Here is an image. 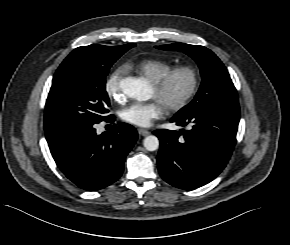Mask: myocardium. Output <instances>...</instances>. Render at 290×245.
<instances>
[{
  "instance_id": "f54148a6",
  "label": "myocardium",
  "mask_w": 290,
  "mask_h": 245,
  "mask_svg": "<svg viewBox=\"0 0 290 245\" xmlns=\"http://www.w3.org/2000/svg\"><path fill=\"white\" fill-rule=\"evenodd\" d=\"M181 73L188 74L190 77V84L186 92L176 101L171 102L165 106L168 111H178L184 108L195 96L200 85V74L198 70L191 66H177L171 68L160 79L153 82V88L158 94L167 90L173 78Z\"/></svg>"
}]
</instances>
